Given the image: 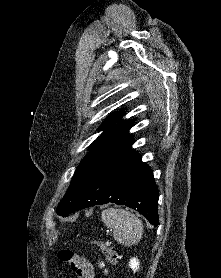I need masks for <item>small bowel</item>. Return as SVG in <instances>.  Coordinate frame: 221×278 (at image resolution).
Here are the masks:
<instances>
[{"instance_id": "small-bowel-1", "label": "small bowel", "mask_w": 221, "mask_h": 278, "mask_svg": "<svg viewBox=\"0 0 221 278\" xmlns=\"http://www.w3.org/2000/svg\"><path fill=\"white\" fill-rule=\"evenodd\" d=\"M85 260L93 267V270H94L93 264H92L90 261H88L86 258H85ZM99 266H100L101 268H104V263H99Z\"/></svg>"}]
</instances>
